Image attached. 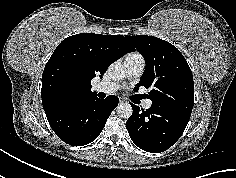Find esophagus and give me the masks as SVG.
<instances>
[{"label":"esophagus","instance_id":"1","mask_svg":"<svg viewBox=\"0 0 236 178\" xmlns=\"http://www.w3.org/2000/svg\"><path fill=\"white\" fill-rule=\"evenodd\" d=\"M124 103V100L123 99H119V104H123Z\"/></svg>","mask_w":236,"mask_h":178}]
</instances>
